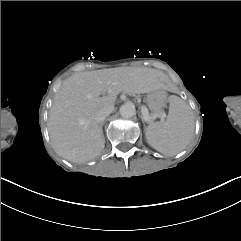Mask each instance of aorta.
<instances>
[{
    "mask_svg": "<svg viewBox=\"0 0 241 241\" xmlns=\"http://www.w3.org/2000/svg\"><path fill=\"white\" fill-rule=\"evenodd\" d=\"M120 115L124 118H130L135 115V106L132 103H125L119 109Z\"/></svg>",
    "mask_w": 241,
    "mask_h": 241,
    "instance_id": "obj_1",
    "label": "aorta"
}]
</instances>
